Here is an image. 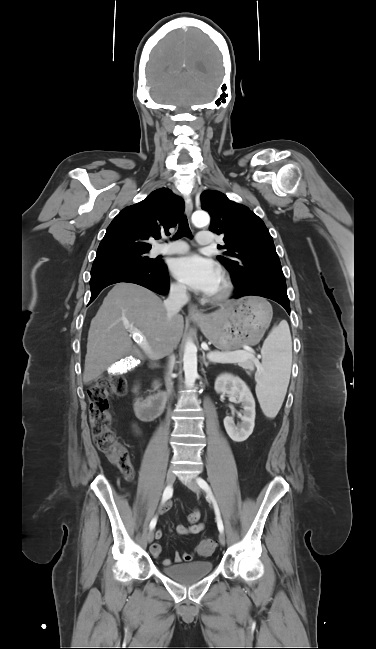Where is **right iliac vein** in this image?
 Instances as JSON below:
<instances>
[{
  "label": "right iliac vein",
  "instance_id": "right-iliac-vein-1",
  "mask_svg": "<svg viewBox=\"0 0 376 649\" xmlns=\"http://www.w3.org/2000/svg\"><path fill=\"white\" fill-rule=\"evenodd\" d=\"M174 481H175V474L173 473V470L170 469L167 472V475H166V482H167L168 485H172L174 483ZM153 539H154V531H153V529H150V531L147 533V541H148V543H151L153 541Z\"/></svg>",
  "mask_w": 376,
  "mask_h": 649
}]
</instances>
